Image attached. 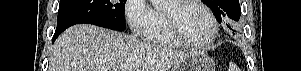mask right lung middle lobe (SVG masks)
Listing matches in <instances>:
<instances>
[{"label": "right lung middle lobe", "mask_w": 301, "mask_h": 71, "mask_svg": "<svg viewBox=\"0 0 301 71\" xmlns=\"http://www.w3.org/2000/svg\"><path fill=\"white\" fill-rule=\"evenodd\" d=\"M126 0H60L58 29L90 23L112 30H125Z\"/></svg>", "instance_id": "dd1d6c3e"}]
</instances>
